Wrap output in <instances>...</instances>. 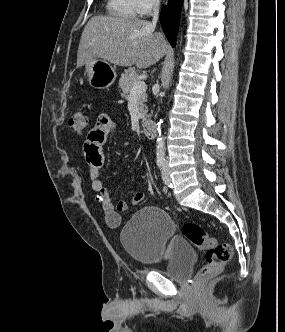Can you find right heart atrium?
Returning <instances> with one entry per match:
<instances>
[{
	"label": "right heart atrium",
	"instance_id": "obj_1",
	"mask_svg": "<svg viewBox=\"0 0 285 332\" xmlns=\"http://www.w3.org/2000/svg\"><path fill=\"white\" fill-rule=\"evenodd\" d=\"M138 14L146 15L158 7L159 0H135Z\"/></svg>",
	"mask_w": 285,
	"mask_h": 332
}]
</instances>
